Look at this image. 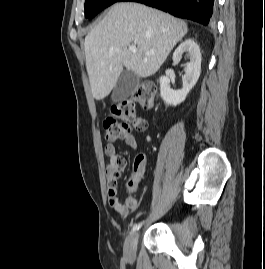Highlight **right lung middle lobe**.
Masks as SVG:
<instances>
[{
  "label": "right lung middle lobe",
  "instance_id": "right-lung-middle-lobe-1",
  "mask_svg": "<svg viewBox=\"0 0 265 269\" xmlns=\"http://www.w3.org/2000/svg\"><path fill=\"white\" fill-rule=\"evenodd\" d=\"M124 0H85V17L92 18L108 6Z\"/></svg>",
  "mask_w": 265,
  "mask_h": 269
}]
</instances>
